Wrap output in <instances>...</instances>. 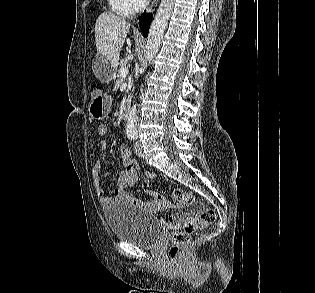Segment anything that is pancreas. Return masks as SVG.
Wrapping results in <instances>:
<instances>
[{
    "label": "pancreas",
    "instance_id": "cf45deb5",
    "mask_svg": "<svg viewBox=\"0 0 315 293\" xmlns=\"http://www.w3.org/2000/svg\"><path fill=\"white\" fill-rule=\"evenodd\" d=\"M123 67H125V64H120L119 70L117 71V75H116L117 76V80H116V84H115L117 88L120 87L121 84L123 83V78L121 76V69Z\"/></svg>",
    "mask_w": 315,
    "mask_h": 293
}]
</instances>
